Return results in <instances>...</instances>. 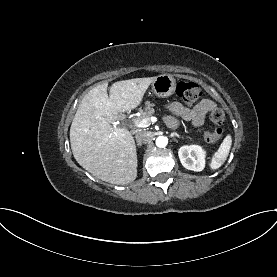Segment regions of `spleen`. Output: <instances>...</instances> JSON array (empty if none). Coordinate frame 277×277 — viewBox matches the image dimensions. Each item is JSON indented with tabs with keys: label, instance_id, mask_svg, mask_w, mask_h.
I'll return each instance as SVG.
<instances>
[{
	"label": "spleen",
	"instance_id": "3e777b00",
	"mask_svg": "<svg viewBox=\"0 0 277 277\" xmlns=\"http://www.w3.org/2000/svg\"><path fill=\"white\" fill-rule=\"evenodd\" d=\"M232 145V138L230 135H227L219 146L218 150L214 153L212 157L210 167L215 170L220 168L223 163L226 161Z\"/></svg>",
	"mask_w": 277,
	"mask_h": 277
}]
</instances>
